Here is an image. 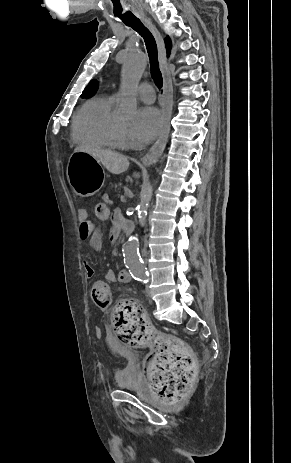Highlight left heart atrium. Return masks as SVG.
<instances>
[{
	"mask_svg": "<svg viewBox=\"0 0 291 463\" xmlns=\"http://www.w3.org/2000/svg\"><path fill=\"white\" fill-rule=\"evenodd\" d=\"M163 116L153 107H144L138 111L133 134L141 142H148L162 132Z\"/></svg>",
	"mask_w": 291,
	"mask_h": 463,
	"instance_id": "obj_1",
	"label": "left heart atrium"
}]
</instances>
